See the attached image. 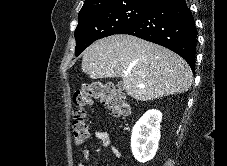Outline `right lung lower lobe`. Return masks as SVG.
<instances>
[{
    "label": "right lung lower lobe",
    "mask_w": 227,
    "mask_h": 166,
    "mask_svg": "<svg viewBox=\"0 0 227 166\" xmlns=\"http://www.w3.org/2000/svg\"><path fill=\"white\" fill-rule=\"evenodd\" d=\"M118 34H129L164 46L195 69L196 27L185 0H159L139 20Z\"/></svg>",
    "instance_id": "98d812e1"
}]
</instances>
